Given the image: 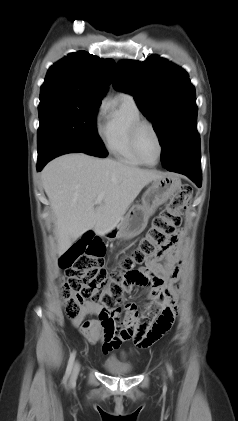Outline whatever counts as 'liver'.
<instances>
[{
  "label": "liver",
  "mask_w": 238,
  "mask_h": 421,
  "mask_svg": "<svg viewBox=\"0 0 238 421\" xmlns=\"http://www.w3.org/2000/svg\"><path fill=\"white\" fill-rule=\"evenodd\" d=\"M162 172L145 170L109 158L67 154L42 171L43 188L55 215L58 253L92 229L104 236L123 218L131 203ZM103 194L101 203H96Z\"/></svg>",
  "instance_id": "liver-1"
}]
</instances>
